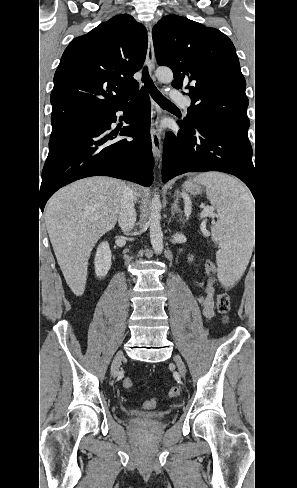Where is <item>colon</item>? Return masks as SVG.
I'll use <instances>...</instances> for the list:
<instances>
[{"label":"colon","mask_w":297,"mask_h":488,"mask_svg":"<svg viewBox=\"0 0 297 488\" xmlns=\"http://www.w3.org/2000/svg\"><path fill=\"white\" fill-rule=\"evenodd\" d=\"M205 270L208 275H213L216 271V265L213 260L207 259L205 261ZM230 297L226 293H219L216 298V308L219 313L223 315V321H227V314L230 310ZM123 387L125 389H131L133 387V382L130 379L129 376L125 377V380L123 382ZM180 395V389L178 387H173L168 391V396L170 398H177ZM157 406V400L152 399L148 400L144 403L143 407L146 410H151Z\"/></svg>","instance_id":"obj_1"}]
</instances>
